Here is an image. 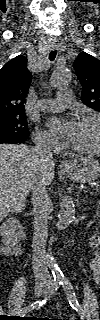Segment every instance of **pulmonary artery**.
<instances>
[{
    "label": "pulmonary artery",
    "instance_id": "1",
    "mask_svg": "<svg viewBox=\"0 0 100 320\" xmlns=\"http://www.w3.org/2000/svg\"><path fill=\"white\" fill-rule=\"evenodd\" d=\"M58 96L59 98L56 100H41L38 104L39 109L42 111H56L73 102L71 91L69 89H61L58 93Z\"/></svg>",
    "mask_w": 100,
    "mask_h": 320
}]
</instances>
